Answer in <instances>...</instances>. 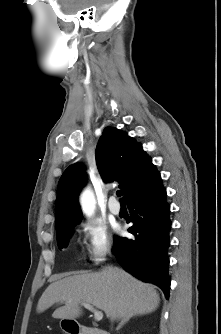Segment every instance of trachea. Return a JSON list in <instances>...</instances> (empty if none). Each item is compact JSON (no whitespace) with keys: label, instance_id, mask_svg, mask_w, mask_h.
<instances>
[{"label":"trachea","instance_id":"1","mask_svg":"<svg viewBox=\"0 0 221 334\" xmlns=\"http://www.w3.org/2000/svg\"><path fill=\"white\" fill-rule=\"evenodd\" d=\"M116 194H117L118 197H121L122 194H123V192H122V190H118ZM121 201H122V199H121ZM122 202H123V201H122Z\"/></svg>","mask_w":221,"mask_h":334}]
</instances>
